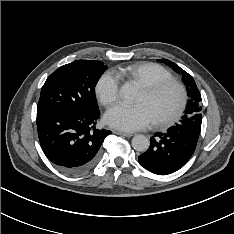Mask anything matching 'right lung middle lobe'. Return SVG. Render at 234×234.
Listing matches in <instances>:
<instances>
[{
    "mask_svg": "<svg viewBox=\"0 0 234 234\" xmlns=\"http://www.w3.org/2000/svg\"><path fill=\"white\" fill-rule=\"evenodd\" d=\"M106 68L101 61L92 60H77L59 67L42 87L37 114L56 109L98 113L95 86Z\"/></svg>",
    "mask_w": 234,
    "mask_h": 234,
    "instance_id": "1",
    "label": "right lung middle lobe"
}]
</instances>
